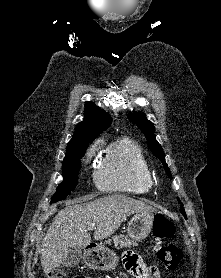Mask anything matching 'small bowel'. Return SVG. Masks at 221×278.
Wrapping results in <instances>:
<instances>
[{
  "instance_id": "small-bowel-1",
  "label": "small bowel",
  "mask_w": 221,
  "mask_h": 278,
  "mask_svg": "<svg viewBox=\"0 0 221 278\" xmlns=\"http://www.w3.org/2000/svg\"><path fill=\"white\" fill-rule=\"evenodd\" d=\"M123 262L126 272H122L119 278H152L150 266L137 254L126 252L123 255Z\"/></svg>"
}]
</instances>
